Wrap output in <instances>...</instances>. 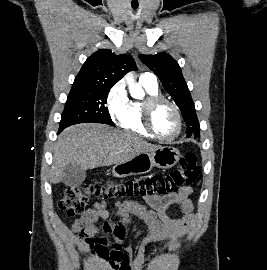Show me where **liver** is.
Instances as JSON below:
<instances>
[{
  "label": "liver",
  "instance_id": "6515ba94",
  "mask_svg": "<svg viewBox=\"0 0 267 270\" xmlns=\"http://www.w3.org/2000/svg\"><path fill=\"white\" fill-rule=\"evenodd\" d=\"M159 146L109 125L84 123L66 128L54 147L50 181H62L64 168L69 164L83 170L128 161Z\"/></svg>",
  "mask_w": 267,
  "mask_h": 270
}]
</instances>
